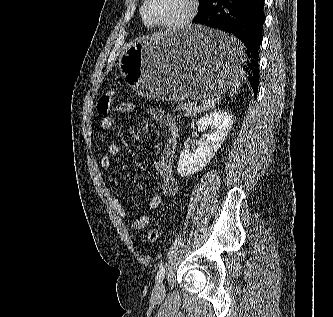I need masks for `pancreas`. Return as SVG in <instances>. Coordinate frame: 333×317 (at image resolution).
Segmentation results:
<instances>
[{
    "label": "pancreas",
    "instance_id": "cf45deb5",
    "mask_svg": "<svg viewBox=\"0 0 333 317\" xmlns=\"http://www.w3.org/2000/svg\"><path fill=\"white\" fill-rule=\"evenodd\" d=\"M214 107V103L212 102H202L201 105H197L196 103L192 102H184L180 103L179 105L176 106V110L180 111L184 115H189V116H195L199 114L200 112H203L205 110H208L210 108Z\"/></svg>",
    "mask_w": 333,
    "mask_h": 317
}]
</instances>
